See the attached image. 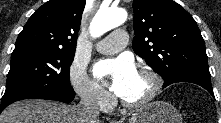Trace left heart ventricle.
<instances>
[{
  "label": "left heart ventricle",
  "instance_id": "left-heart-ventricle-1",
  "mask_svg": "<svg viewBox=\"0 0 221 123\" xmlns=\"http://www.w3.org/2000/svg\"><path fill=\"white\" fill-rule=\"evenodd\" d=\"M151 88L150 78L137 72L120 97L128 102H138L149 94Z\"/></svg>",
  "mask_w": 221,
  "mask_h": 123
}]
</instances>
